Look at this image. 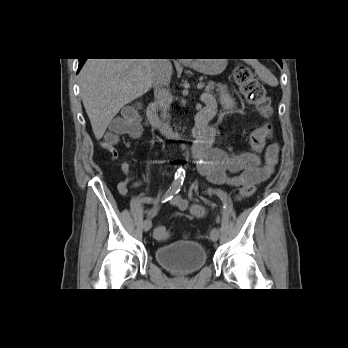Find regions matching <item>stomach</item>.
Here are the masks:
<instances>
[{"instance_id":"1","label":"stomach","mask_w":348,"mask_h":348,"mask_svg":"<svg viewBox=\"0 0 348 348\" xmlns=\"http://www.w3.org/2000/svg\"><path fill=\"white\" fill-rule=\"evenodd\" d=\"M226 65V59H196L190 66L205 75H217L225 69Z\"/></svg>"}]
</instances>
